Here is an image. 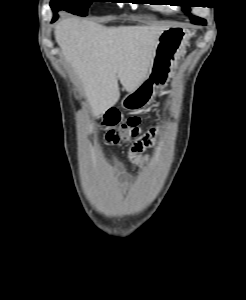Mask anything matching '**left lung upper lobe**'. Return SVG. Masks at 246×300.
I'll return each instance as SVG.
<instances>
[{
    "mask_svg": "<svg viewBox=\"0 0 246 300\" xmlns=\"http://www.w3.org/2000/svg\"><path fill=\"white\" fill-rule=\"evenodd\" d=\"M186 2H188V3H193V2H195V1H186ZM189 5H187V7L186 8H184L183 10L184 11H190V9H189ZM191 21L194 23V24H199V25H206V20H204V19H202V18H199V17H191Z\"/></svg>",
    "mask_w": 246,
    "mask_h": 300,
    "instance_id": "left-lung-upper-lobe-1",
    "label": "left lung upper lobe"
}]
</instances>
